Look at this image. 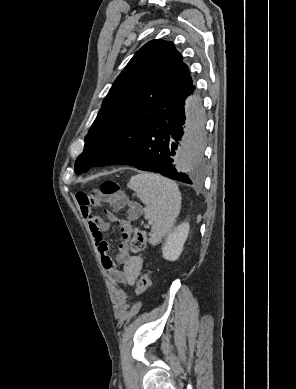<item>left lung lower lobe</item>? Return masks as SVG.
<instances>
[{"instance_id": "obj_1", "label": "left lung lower lobe", "mask_w": 296, "mask_h": 389, "mask_svg": "<svg viewBox=\"0 0 296 389\" xmlns=\"http://www.w3.org/2000/svg\"><path fill=\"white\" fill-rule=\"evenodd\" d=\"M195 89L188 70L160 85L148 104L107 133L95 151L99 166L127 164L192 184L200 174L203 155L201 102ZM186 114L191 118L187 129ZM183 130L190 146L187 174L176 172L172 165Z\"/></svg>"}]
</instances>
